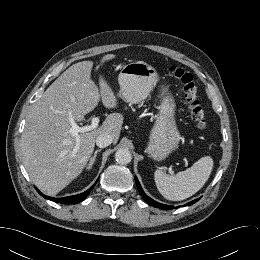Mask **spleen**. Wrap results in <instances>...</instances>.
<instances>
[{"label":"spleen","mask_w":260,"mask_h":260,"mask_svg":"<svg viewBox=\"0 0 260 260\" xmlns=\"http://www.w3.org/2000/svg\"><path fill=\"white\" fill-rule=\"evenodd\" d=\"M213 160L210 156L200 158L190 168L171 176L156 170L154 180L163 197L172 201L187 199L198 192L210 177Z\"/></svg>","instance_id":"3e777b00"}]
</instances>
